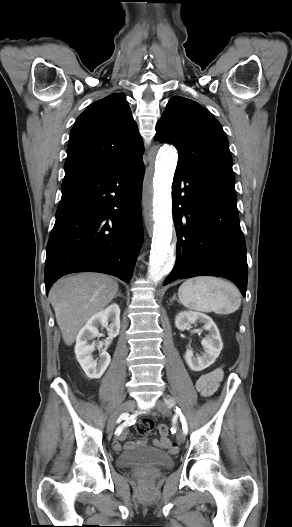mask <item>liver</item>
I'll return each instance as SVG.
<instances>
[{
  "label": "liver",
  "mask_w": 292,
  "mask_h": 527,
  "mask_svg": "<svg viewBox=\"0 0 292 527\" xmlns=\"http://www.w3.org/2000/svg\"><path fill=\"white\" fill-rule=\"evenodd\" d=\"M118 283L108 275L79 273L58 280L49 297L66 345H72L84 324L117 295Z\"/></svg>",
  "instance_id": "obj_1"
}]
</instances>
